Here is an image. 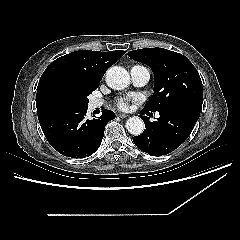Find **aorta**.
<instances>
[{
    "mask_svg": "<svg viewBox=\"0 0 240 240\" xmlns=\"http://www.w3.org/2000/svg\"><path fill=\"white\" fill-rule=\"evenodd\" d=\"M107 85L115 90H122L130 84V75L123 67L113 66L106 72ZM145 128L141 118L133 116L126 121V129L132 135L138 136Z\"/></svg>",
    "mask_w": 240,
    "mask_h": 240,
    "instance_id": "obj_1",
    "label": "aorta"
}]
</instances>
